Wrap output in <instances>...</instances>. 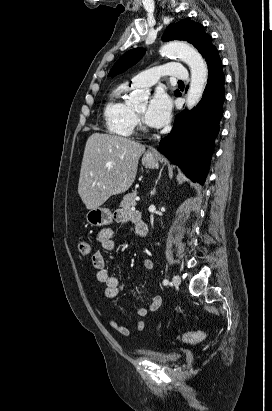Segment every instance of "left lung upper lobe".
<instances>
[{
	"label": "left lung upper lobe",
	"instance_id": "1",
	"mask_svg": "<svg viewBox=\"0 0 272 411\" xmlns=\"http://www.w3.org/2000/svg\"><path fill=\"white\" fill-rule=\"evenodd\" d=\"M164 41L170 40H184L194 45V47L206 59L208 54L215 49L212 44V38L205 33L204 28L199 23L190 19L181 20L178 23L170 24L162 37ZM144 54V49L136 48L126 52L122 55L112 67L108 76H115L124 72L134 64H136ZM175 95L179 94L176 90Z\"/></svg>",
	"mask_w": 272,
	"mask_h": 411
}]
</instances>
